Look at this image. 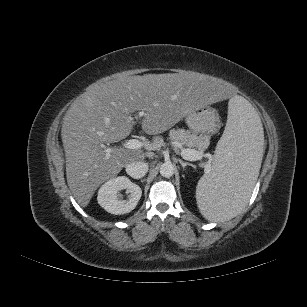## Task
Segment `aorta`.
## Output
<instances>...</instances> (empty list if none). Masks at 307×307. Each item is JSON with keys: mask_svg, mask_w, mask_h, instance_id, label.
<instances>
[{"mask_svg": "<svg viewBox=\"0 0 307 307\" xmlns=\"http://www.w3.org/2000/svg\"><path fill=\"white\" fill-rule=\"evenodd\" d=\"M160 174L165 178H170L174 174V167L171 163H163L160 167Z\"/></svg>", "mask_w": 307, "mask_h": 307, "instance_id": "762f6f07", "label": "aorta"}]
</instances>
